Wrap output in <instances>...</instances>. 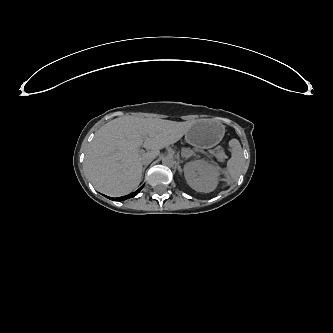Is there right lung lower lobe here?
I'll return each instance as SVG.
<instances>
[{
  "label": "right lung lower lobe",
  "mask_w": 333,
  "mask_h": 333,
  "mask_svg": "<svg viewBox=\"0 0 333 333\" xmlns=\"http://www.w3.org/2000/svg\"><path fill=\"white\" fill-rule=\"evenodd\" d=\"M143 187V186H142ZM142 187L141 188H139L136 192H134V193H132V194H130V195H127V196H131V195H135V194H137L141 189H142Z\"/></svg>",
  "instance_id": "1"
}]
</instances>
